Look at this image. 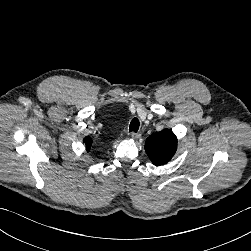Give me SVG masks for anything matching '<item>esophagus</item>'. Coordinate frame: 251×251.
Segmentation results:
<instances>
[{
	"instance_id": "1",
	"label": "esophagus",
	"mask_w": 251,
	"mask_h": 251,
	"mask_svg": "<svg viewBox=\"0 0 251 251\" xmlns=\"http://www.w3.org/2000/svg\"><path fill=\"white\" fill-rule=\"evenodd\" d=\"M131 137H132L133 139H138V138L140 137V133L132 132V133H131Z\"/></svg>"
}]
</instances>
